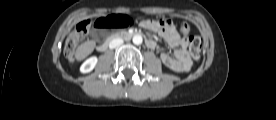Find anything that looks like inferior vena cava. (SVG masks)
<instances>
[{
	"label": "inferior vena cava",
	"instance_id": "602c4592",
	"mask_svg": "<svg viewBox=\"0 0 276 120\" xmlns=\"http://www.w3.org/2000/svg\"><path fill=\"white\" fill-rule=\"evenodd\" d=\"M123 43V40L120 38L117 39H113L110 43H109V48L110 49H114L118 46H120Z\"/></svg>",
	"mask_w": 276,
	"mask_h": 120
}]
</instances>
